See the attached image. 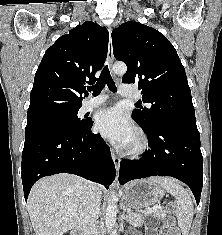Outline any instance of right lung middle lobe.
Masks as SVG:
<instances>
[{"label":"right lung middle lobe","mask_w":222,"mask_h":235,"mask_svg":"<svg viewBox=\"0 0 222 235\" xmlns=\"http://www.w3.org/2000/svg\"><path fill=\"white\" fill-rule=\"evenodd\" d=\"M80 104L59 108L44 116L30 118L25 128L26 140L52 131H72L84 123L77 117Z\"/></svg>","instance_id":"dd1d6c3e"}]
</instances>
